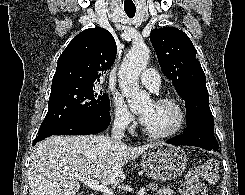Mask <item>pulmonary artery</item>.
<instances>
[{"label":"pulmonary artery","mask_w":245,"mask_h":195,"mask_svg":"<svg viewBox=\"0 0 245 195\" xmlns=\"http://www.w3.org/2000/svg\"><path fill=\"white\" fill-rule=\"evenodd\" d=\"M140 82L142 85H144L146 88L155 91L158 89L160 84V77L156 70L147 68L144 69L140 75Z\"/></svg>","instance_id":"pulmonary-artery-1"}]
</instances>
